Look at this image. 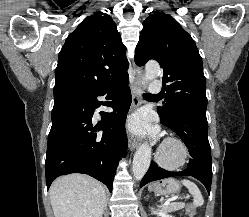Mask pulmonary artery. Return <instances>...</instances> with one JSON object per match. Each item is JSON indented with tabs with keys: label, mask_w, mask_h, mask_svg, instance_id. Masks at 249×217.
Instances as JSON below:
<instances>
[{
	"label": "pulmonary artery",
	"mask_w": 249,
	"mask_h": 217,
	"mask_svg": "<svg viewBox=\"0 0 249 217\" xmlns=\"http://www.w3.org/2000/svg\"><path fill=\"white\" fill-rule=\"evenodd\" d=\"M161 90H162L161 82L154 80L150 83L149 91L151 94L153 95L159 94L161 93Z\"/></svg>",
	"instance_id": "e3ab8cb5"
}]
</instances>
